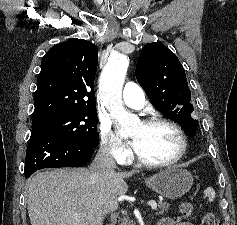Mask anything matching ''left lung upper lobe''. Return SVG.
I'll use <instances>...</instances> for the list:
<instances>
[{"mask_svg": "<svg viewBox=\"0 0 237 225\" xmlns=\"http://www.w3.org/2000/svg\"><path fill=\"white\" fill-rule=\"evenodd\" d=\"M136 78L152 105L176 121L189 136L198 126L191 92L179 59L162 43L146 44L138 58Z\"/></svg>", "mask_w": 237, "mask_h": 225, "instance_id": "1", "label": "left lung upper lobe"}]
</instances>
